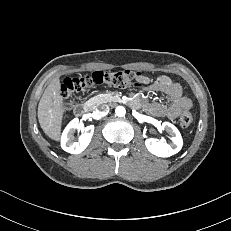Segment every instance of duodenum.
Here are the masks:
<instances>
[{"instance_id":"410a0bca","label":"duodenum","mask_w":231,"mask_h":231,"mask_svg":"<svg viewBox=\"0 0 231 231\" xmlns=\"http://www.w3.org/2000/svg\"><path fill=\"white\" fill-rule=\"evenodd\" d=\"M92 107L89 104H79L74 109V114L77 117H82L91 111Z\"/></svg>"}]
</instances>
